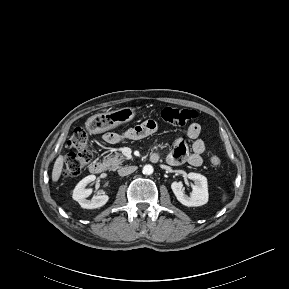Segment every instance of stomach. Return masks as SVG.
<instances>
[{"label":"stomach","mask_w":289,"mask_h":289,"mask_svg":"<svg viewBox=\"0 0 289 289\" xmlns=\"http://www.w3.org/2000/svg\"><path fill=\"white\" fill-rule=\"evenodd\" d=\"M136 111L131 107L96 114L86 121V129L91 134H99L131 121Z\"/></svg>","instance_id":"stomach-1"}]
</instances>
